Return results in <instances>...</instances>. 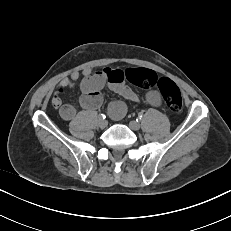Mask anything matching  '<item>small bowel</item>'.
<instances>
[{
    "instance_id": "small-bowel-1",
    "label": "small bowel",
    "mask_w": 231,
    "mask_h": 231,
    "mask_svg": "<svg viewBox=\"0 0 231 231\" xmlns=\"http://www.w3.org/2000/svg\"><path fill=\"white\" fill-rule=\"evenodd\" d=\"M124 75L125 72L123 70L109 68L98 71L86 68L81 73L74 71L58 82L57 90L52 98V106L59 111L64 121L73 120L77 110L72 104L63 103L62 97L65 89L75 87L80 79L82 94L79 98V104L85 110H96L102 105L101 90L105 86L127 100L139 102L138 94L127 85ZM145 98L152 106L158 107L162 104L161 94L158 91H148ZM109 113L113 119H120L123 117L125 109L123 106L115 103L110 105Z\"/></svg>"
}]
</instances>
